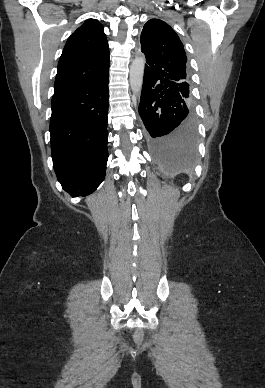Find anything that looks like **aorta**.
<instances>
[{
	"label": "aorta",
	"instance_id": "762f6f07",
	"mask_svg": "<svg viewBox=\"0 0 265 388\" xmlns=\"http://www.w3.org/2000/svg\"><path fill=\"white\" fill-rule=\"evenodd\" d=\"M145 63L143 57H136L130 67V85L133 93L137 96L142 90Z\"/></svg>",
	"mask_w": 265,
	"mask_h": 388
}]
</instances>
